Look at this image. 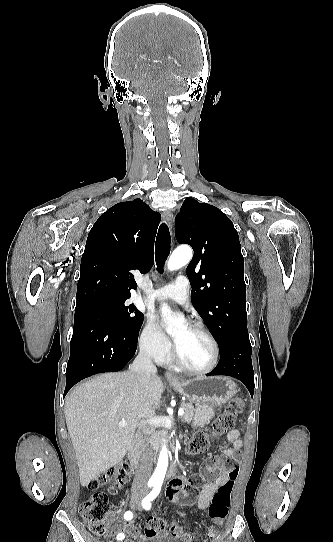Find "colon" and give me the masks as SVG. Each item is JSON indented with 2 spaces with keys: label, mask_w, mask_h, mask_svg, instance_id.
Instances as JSON below:
<instances>
[{
  "label": "colon",
  "mask_w": 333,
  "mask_h": 542,
  "mask_svg": "<svg viewBox=\"0 0 333 542\" xmlns=\"http://www.w3.org/2000/svg\"><path fill=\"white\" fill-rule=\"evenodd\" d=\"M243 408V402L240 398H234L228 404L218 418L213 422L212 427L207 432L196 431L187 443V452L190 455H201L208 451L210 440L213 437L221 436L225 433H230L233 430L239 412ZM210 469L214 470L215 466L211 465ZM223 470L229 476V481L223 484L215 493L211 504L209 505V517L212 524L209 526V531L213 534L218 532L220 525L227 518L231 494L234 487V481L238 477L240 466L239 462L233 458L223 460ZM130 466L125 465L123 469L119 466H114L107 469L106 473H102L98 478L90 481V486L93 488L105 487L108 492L115 495L118 489L129 478ZM204 484V476L196 473L190 476L191 488H198ZM109 504L106 496L102 493L91 495L85 499L79 508V512L87 526L96 535H104L108 529L107 513ZM166 523L163 519L152 516L147 519L144 534L148 539L166 538ZM172 537L179 540H186L187 535L181 528L175 527L172 529Z\"/></svg>",
  "instance_id": "obj_1"
}]
</instances>
